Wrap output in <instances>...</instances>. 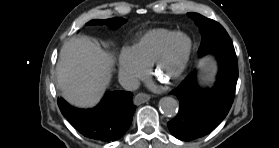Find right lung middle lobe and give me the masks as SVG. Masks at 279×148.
<instances>
[{
    "instance_id": "dd1d6c3e",
    "label": "right lung middle lobe",
    "mask_w": 279,
    "mask_h": 148,
    "mask_svg": "<svg viewBox=\"0 0 279 148\" xmlns=\"http://www.w3.org/2000/svg\"><path fill=\"white\" fill-rule=\"evenodd\" d=\"M126 22L123 18H113V19H106V20H91L87 25H103L106 24L110 28H117Z\"/></svg>"
}]
</instances>
